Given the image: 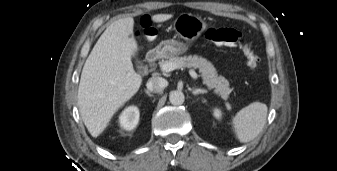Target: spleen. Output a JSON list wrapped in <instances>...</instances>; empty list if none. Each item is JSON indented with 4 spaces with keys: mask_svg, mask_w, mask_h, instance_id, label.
I'll return each instance as SVG.
<instances>
[{
    "mask_svg": "<svg viewBox=\"0 0 337 171\" xmlns=\"http://www.w3.org/2000/svg\"><path fill=\"white\" fill-rule=\"evenodd\" d=\"M267 111L266 104L253 102L233 117V130L241 143H247L258 136L266 123Z\"/></svg>",
    "mask_w": 337,
    "mask_h": 171,
    "instance_id": "obj_1",
    "label": "spleen"
}]
</instances>
